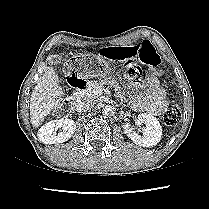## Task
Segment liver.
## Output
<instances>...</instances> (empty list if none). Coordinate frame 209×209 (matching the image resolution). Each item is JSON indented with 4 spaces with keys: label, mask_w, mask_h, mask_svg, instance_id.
I'll use <instances>...</instances> for the list:
<instances>
[{
    "label": "liver",
    "mask_w": 209,
    "mask_h": 209,
    "mask_svg": "<svg viewBox=\"0 0 209 209\" xmlns=\"http://www.w3.org/2000/svg\"><path fill=\"white\" fill-rule=\"evenodd\" d=\"M62 97L59 77L55 69L48 66L31 94L30 118L35 128L42 124L51 111L62 107Z\"/></svg>",
    "instance_id": "1"
}]
</instances>
